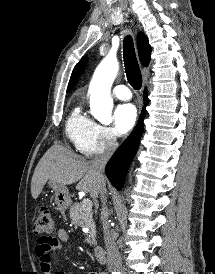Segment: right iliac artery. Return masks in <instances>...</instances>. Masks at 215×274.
<instances>
[{
	"instance_id": "right-iliac-artery-1",
	"label": "right iliac artery",
	"mask_w": 215,
	"mask_h": 274,
	"mask_svg": "<svg viewBox=\"0 0 215 274\" xmlns=\"http://www.w3.org/2000/svg\"><path fill=\"white\" fill-rule=\"evenodd\" d=\"M112 274H120L119 272H113Z\"/></svg>"
}]
</instances>
